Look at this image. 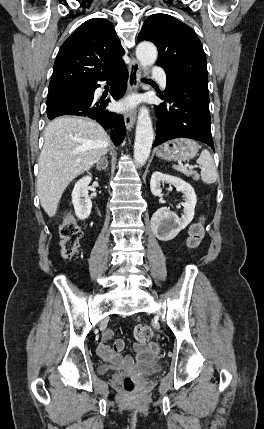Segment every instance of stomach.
<instances>
[{
	"label": "stomach",
	"instance_id": "1",
	"mask_svg": "<svg viewBox=\"0 0 264 429\" xmlns=\"http://www.w3.org/2000/svg\"><path fill=\"white\" fill-rule=\"evenodd\" d=\"M199 150L196 141L188 138L172 139L156 149V156L168 161H186L194 158Z\"/></svg>",
	"mask_w": 264,
	"mask_h": 429
}]
</instances>
